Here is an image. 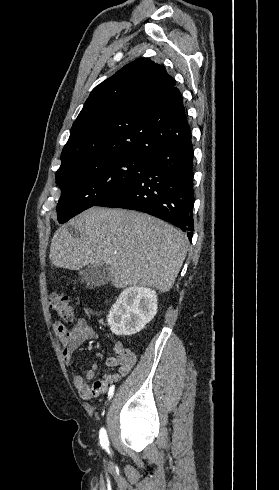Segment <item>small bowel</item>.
<instances>
[{"instance_id":"1","label":"small bowel","mask_w":279,"mask_h":490,"mask_svg":"<svg viewBox=\"0 0 279 490\" xmlns=\"http://www.w3.org/2000/svg\"><path fill=\"white\" fill-rule=\"evenodd\" d=\"M53 330L62 346L63 359L67 365L73 363L75 351L84 342L98 338L96 330L82 318L71 327L56 322ZM136 362V355L120 341H117L114 344V354L107 358L108 366L114 367L115 371L105 374L101 380L95 381L90 385L89 382L94 379L98 369V363L94 362L83 376L78 374L74 376L73 385L79 395L84 399L99 397L126 376L135 366Z\"/></svg>"}]
</instances>
